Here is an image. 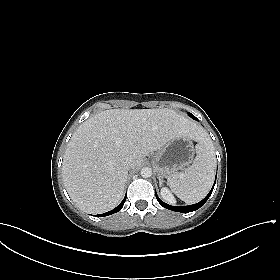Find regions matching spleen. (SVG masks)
Segmentation results:
<instances>
[{"mask_svg": "<svg viewBox=\"0 0 280 280\" xmlns=\"http://www.w3.org/2000/svg\"><path fill=\"white\" fill-rule=\"evenodd\" d=\"M195 151L192 165L167 179L171 190L187 204L196 203L208 194L215 175L216 160L210 143L204 138L196 145Z\"/></svg>", "mask_w": 280, "mask_h": 280, "instance_id": "1", "label": "spleen"}]
</instances>
